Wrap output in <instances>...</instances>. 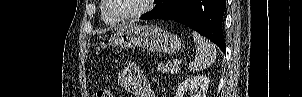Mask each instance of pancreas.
<instances>
[{
    "mask_svg": "<svg viewBox=\"0 0 302 97\" xmlns=\"http://www.w3.org/2000/svg\"><path fill=\"white\" fill-rule=\"evenodd\" d=\"M157 71H161L162 73H177L179 67L169 61L161 62L157 65Z\"/></svg>",
    "mask_w": 302,
    "mask_h": 97,
    "instance_id": "cf45deb5",
    "label": "pancreas"
}]
</instances>
